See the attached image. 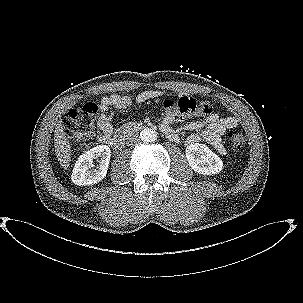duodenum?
<instances>
[{"label":"duodenum","mask_w":303,"mask_h":303,"mask_svg":"<svg viewBox=\"0 0 303 303\" xmlns=\"http://www.w3.org/2000/svg\"><path fill=\"white\" fill-rule=\"evenodd\" d=\"M141 127H137L136 125H129L127 128H125L118 136L111 138L108 142L110 146H112L115 150H120L125 142L126 136L130 133L139 131ZM165 135L172 139L175 137V134L173 132L169 131H163Z\"/></svg>","instance_id":"obj_1"}]
</instances>
